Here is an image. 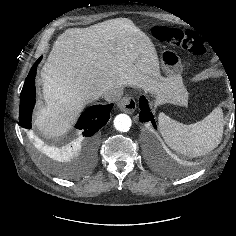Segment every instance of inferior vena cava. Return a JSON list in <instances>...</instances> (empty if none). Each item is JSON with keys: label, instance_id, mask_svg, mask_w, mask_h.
<instances>
[{"label": "inferior vena cava", "instance_id": "obj_1", "mask_svg": "<svg viewBox=\"0 0 236 236\" xmlns=\"http://www.w3.org/2000/svg\"><path fill=\"white\" fill-rule=\"evenodd\" d=\"M122 94V89L114 88L105 91L102 97H104L107 102H117L121 99Z\"/></svg>", "mask_w": 236, "mask_h": 236}]
</instances>
